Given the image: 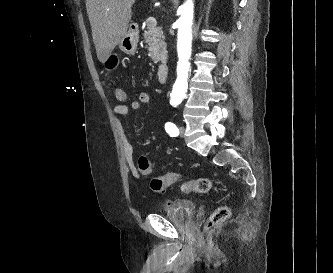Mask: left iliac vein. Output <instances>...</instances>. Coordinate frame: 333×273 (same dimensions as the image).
Wrapping results in <instances>:
<instances>
[{
  "label": "left iliac vein",
  "mask_w": 333,
  "mask_h": 273,
  "mask_svg": "<svg viewBox=\"0 0 333 273\" xmlns=\"http://www.w3.org/2000/svg\"><path fill=\"white\" fill-rule=\"evenodd\" d=\"M179 131H180L181 136L185 135V127L184 126H180Z\"/></svg>",
  "instance_id": "obj_1"
}]
</instances>
